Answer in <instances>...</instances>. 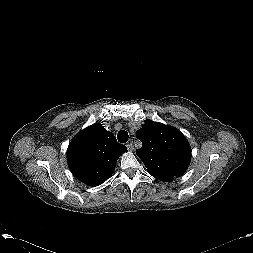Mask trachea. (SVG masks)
Instances as JSON below:
<instances>
[{"label":"trachea","instance_id":"1","mask_svg":"<svg viewBox=\"0 0 253 253\" xmlns=\"http://www.w3.org/2000/svg\"><path fill=\"white\" fill-rule=\"evenodd\" d=\"M129 135L126 131L122 130L118 133L117 139L120 143H126L128 141Z\"/></svg>","mask_w":253,"mask_h":253}]
</instances>
